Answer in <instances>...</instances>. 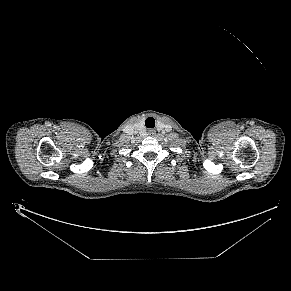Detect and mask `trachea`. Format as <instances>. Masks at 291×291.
<instances>
[{
  "instance_id": "3493384b",
  "label": "trachea",
  "mask_w": 291,
  "mask_h": 291,
  "mask_svg": "<svg viewBox=\"0 0 291 291\" xmlns=\"http://www.w3.org/2000/svg\"><path fill=\"white\" fill-rule=\"evenodd\" d=\"M145 126L147 128H154L155 127V120L152 117H148L145 121Z\"/></svg>"
}]
</instances>
